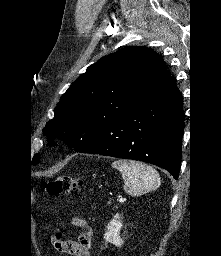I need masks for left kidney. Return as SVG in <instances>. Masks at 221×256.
Instances as JSON below:
<instances>
[{
    "instance_id": "left-kidney-1",
    "label": "left kidney",
    "mask_w": 221,
    "mask_h": 256,
    "mask_svg": "<svg viewBox=\"0 0 221 256\" xmlns=\"http://www.w3.org/2000/svg\"><path fill=\"white\" fill-rule=\"evenodd\" d=\"M122 223L119 214H116L107 226V231L104 235L106 242L112 243L117 247H121L124 241L120 237Z\"/></svg>"
}]
</instances>
